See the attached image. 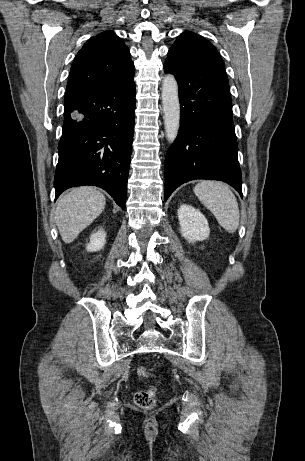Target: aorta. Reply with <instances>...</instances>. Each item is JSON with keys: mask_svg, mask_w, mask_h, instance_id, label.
<instances>
[{"mask_svg": "<svg viewBox=\"0 0 305 461\" xmlns=\"http://www.w3.org/2000/svg\"><path fill=\"white\" fill-rule=\"evenodd\" d=\"M162 105L167 140L173 143L180 126V104L178 85L173 75L168 74L162 83Z\"/></svg>", "mask_w": 305, "mask_h": 461, "instance_id": "aorta-1", "label": "aorta"}]
</instances>
